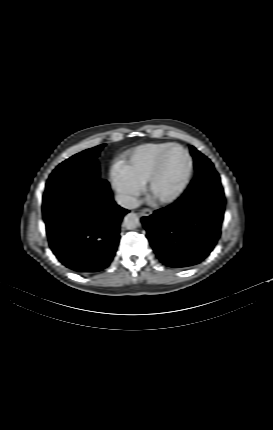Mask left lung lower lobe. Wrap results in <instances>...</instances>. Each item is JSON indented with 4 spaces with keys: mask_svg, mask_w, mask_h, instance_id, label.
Listing matches in <instances>:
<instances>
[{
    "mask_svg": "<svg viewBox=\"0 0 273 430\" xmlns=\"http://www.w3.org/2000/svg\"><path fill=\"white\" fill-rule=\"evenodd\" d=\"M225 206L219 174L204 171L173 204L142 218L160 261L187 268L203 261L215 247Z\"/></svg>",
    "mask_w": 273,
    "mask_h": 430,
    "instance_id": "left-lung-lower-lobe-1",
    "label": "left lung lower lobe"
}]
</instances>
